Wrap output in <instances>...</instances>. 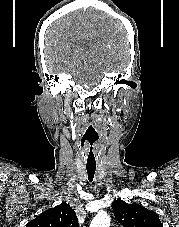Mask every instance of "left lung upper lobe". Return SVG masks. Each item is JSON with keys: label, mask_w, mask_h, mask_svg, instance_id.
I'll return each instance as SVG.
<instances>
[{"label": "left lung upper lobe", "mask_w": 179, "mask_h": 227, "mask_svg": "<svg viewBox=\"0 0 179 227\" xmlns=\"http://www.w3.org/2000/svg\"><path fill=\"white\" fill-rule=\"evenodd\" d=\"M111 206L116 219L123 227H163L159 216L142 205L128 204L117 199Z\"/></svg>", "instance_id": "5c2ea615"}]
</instances>
